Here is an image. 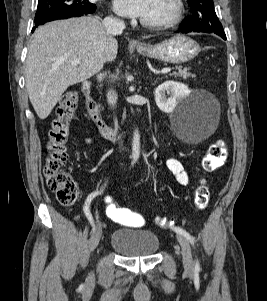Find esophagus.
I'll use <instances>...</instances> for the list:
<instances>
[{
	"instance_id": "esophagus-1",
	"label": "esophagus",
	"mask_w": 267,
	"mask_h": 301,
	"mask_svg": "<svg viewBox=\"0 0 267 301\" xmlns=\"http://www.w3.org/2000/svg\"><path fill=\"white\" fill-rule=\"evenodd\" d=\"M136 45H140V43H136Z\"/></svg>"
}]
</instances>
